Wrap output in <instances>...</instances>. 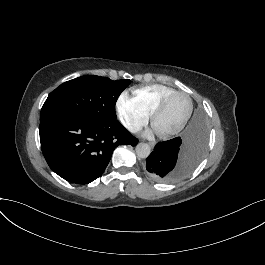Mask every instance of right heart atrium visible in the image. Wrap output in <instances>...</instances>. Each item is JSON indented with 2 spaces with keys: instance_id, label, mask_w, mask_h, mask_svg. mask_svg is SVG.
Segmentation results:
<instances>
[{
  "instance_id": "1",
  "label": "right heart atrium",
  "mask_w": 265,
  "mask_h": 265,
  "mask_svg": "<svg viewBox=\"0 0 265 265\" xmlns=\"http://www.w3.org/2000/svg\"><path fill=\"white\" fill-rule=\"evenodd\" d=\"M119 109L124 116L126 126L132 132L139 131L150 119V112L137 99L124 94L119 99Z\"/></svg>"
}]
</instances>
